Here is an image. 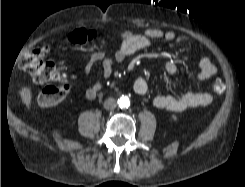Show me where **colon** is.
Wrapping results in <instances>:
<instances>
[{
    "label": "colon",
    "instance_id": "colon-1",
    "mask_svg": "<svg viewBox=\"0 0 245 187\" xmlns=\"http://www.w3.org/2000/svg\"><path fill=\"white\" fill-rule=\"evenodd\" d=\"M68 40L74 45L86 43L85 30H75L69 35ZM45 52V47L31 49L23 57L20 67L34 82L46 85L39 95V104L42 107H53L67 97L71 86L59 65L43 59ZM211 90L213 94L221 95L225 91V85L222 82H215Z\"/></svg>",
    "mask_w": 245,
    "mask_h": 187
}]
</instances>
